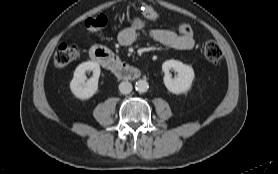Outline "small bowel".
<instances>
[{
  "label": "small bowel",
  "instance_id": "small-bowel-1",
  "mask_svg": "<svg viewBox=\"0 0 278 174\" xmlns=\"http://www.w3.org/2000/svg\"><path fill=\"white\" fill-rule=\"evenodd\" d=\"M145 27L146 24L142 19H134L120 30L118 34L119 43L124 46L133 44ZM149 35L156 42L176 50H191L195 46L193 36H182L169 29H152L149 31Z\"/></svg>",
  "mask_w": 278,
  "mask_h": 174
}]
</instances>
